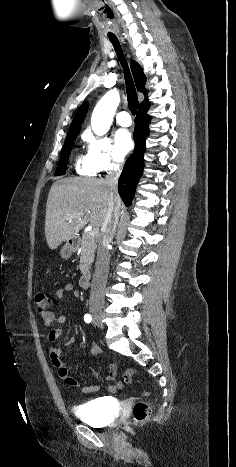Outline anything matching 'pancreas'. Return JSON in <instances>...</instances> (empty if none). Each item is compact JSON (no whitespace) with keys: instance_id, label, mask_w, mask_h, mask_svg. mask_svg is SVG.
I'll use <instances>...</instances> for the list:
<instances>
[{"instance_id":"pancreas-1","label":"pancreas","mask_w":236,"mask_h":467,"mask_svg":"<svg viewBox=\"0 0 236 467\" xmlns=\"http://www.w3.org/2000/svg\"><path fill=\"white\" fill-rule=\"evenodd\" d=\"M80 264L79 269L83 275L89 274L90 265L94 261L96 250V238L91 237L89 234L83 236L80 240Z\"/></svg>"}]
</instances>
